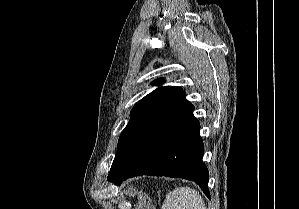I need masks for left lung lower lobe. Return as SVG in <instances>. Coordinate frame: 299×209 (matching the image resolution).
<instances>
[{"instance_id":"obj_1","label":"left lung lower lobe","mask_w":299,"mask_h":209,"mask_svg":"<svg viewBox=\"0 0 299 209\" xmlns=\"http://www.w3.org/2000/svg\"><path fill=\"white\" fill-rule=\"evenodd\" d=\"M193 110L183 90L158 108L120 147L107 179L120 185L139 175L184 178L210 198L200 123Z\"/></svg>"}]
</instances>
